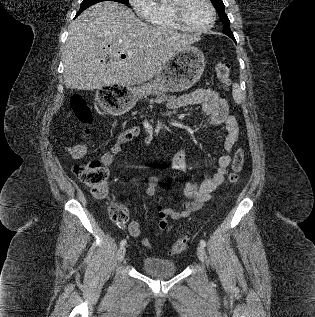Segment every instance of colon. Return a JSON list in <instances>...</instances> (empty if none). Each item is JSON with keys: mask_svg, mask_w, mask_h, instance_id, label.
I'll use <instances>...</instances> for the list:
<instances>
[{"mask_svg": "<svg viewBox=\"0 0 315 317\" xmlns=\"http://www.w3.org/2000/svg\"><path fill=\"white\" fill-rule=\"evenodd\" d=\"M216 76L223 89L230 84V66L224 62H218L215 65ZM71 106L74 115L84 126V131L79 141L68 145L69 154L75 158H83L87 153L86 139L88 137V126L91 124L92 115L85 100L81 96L72 98ZM245 155L242 148H238L233 156L231 171L228 176L230 183H236L239 179L240 172L244 166ZM75 174L80 181L84 183L93 195L103 198L108 193V173L106 167L98 160H92L84 164H77L73 167ZM111 220L118 226H124L128 221L127 209L119 203H112L109 207ZM189 236H182L177 239L171 246L169 253L177 255L182 253L189 245Z\"/></svg>", "mask_w": 315, "mask_h": 317, "instance_id": "colon-1", "label": "colon"}]
</instances>
